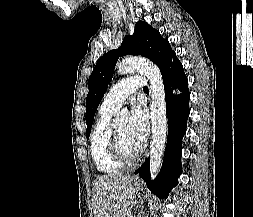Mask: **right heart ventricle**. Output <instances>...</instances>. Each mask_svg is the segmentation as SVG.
<instances>
[{
	"instance_id": "e07e8e85",
	"label": "right heart ventricle",
	"mask_w": 253,
	"mask_h": 217,
	"mask_svg": "<svg viewBox=\"0 0 253 217\" xmlns=\"http://www.w3.org/2000/svg\"><path fill=\"white\" fill-rule=\"evenodd\" d=\"M114 112L100 108L99 117L90 137V152L93 162L100 172L108 175L117 174L123 168V164L118 162L109 150L111 118Z\"/></svg>"
}]
</instances>
